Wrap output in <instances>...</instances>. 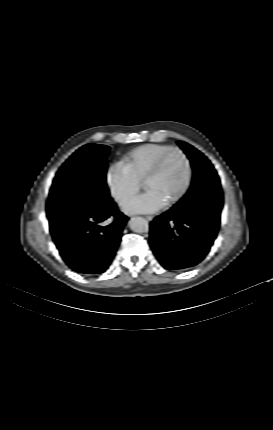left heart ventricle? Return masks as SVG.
I'll return each mask as SVG.
<instances>
[{"instance_id": "1", "label": "left heart ventricle", "mask_w": 273, "mask_h": 430, "mask_svg": "<svg viewBox=\"0 0 273 430\" xmlns=\"http://www.w3.org/2000/svg\"><path fill=\"white\" fill-rule=\"evenodd\" d=\"M186 179V166L179 154L168 156L159 176L145 184L147 190L155 191L165 202H169L183 187Z\"/></svg>"}]
</instances>
